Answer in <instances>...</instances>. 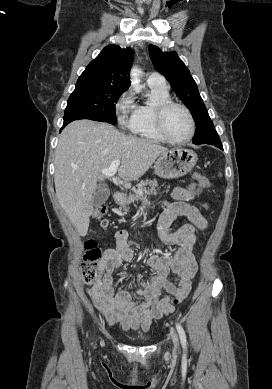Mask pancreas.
Masks as SVG:
<instances>
[{
  "instance_id": "cf45deb5",
  "label": "pancreas",
  "mask_w": 272,
  "mask_h": 389,
  "mask_svg": "<svg viewBox=\"0 0 272 389\" xmlns=\"http://www.w3.org/2000/svg\"><path fill=\"white\" fill-rule=\"evenodd\" d=\"M150 187V188H149ZM158 187L157 181L154 180H147L146 182L141 181L137 185V190L135 191V195H126L125 199L127 200L128 203L134 202L135 200H141L142 197L149 194L152 190H155V188ZM141 192V193H138Z\"/></svg>"
}]
</instances>
